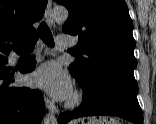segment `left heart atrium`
Here are the masks:
<instances>
[{
  "label": "left heart atrium",
  "mask_w": 156,
  "mask_h": 124,
  "mask_svg": "<svg viewBox=\"0 0 156 124\" xmlns=\"http://www.w3.org/2000/svg\"><path fill=\"white\" fill-rule=\"evenodd\" d=\"M32 83L56 99H66L72 92L71 80L68 74L53 61L38 67L31 77Z\"/></svg>",
  "instance_id": "1"
}]
</instances>
